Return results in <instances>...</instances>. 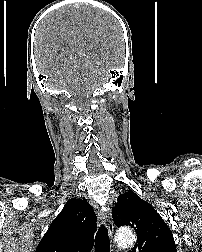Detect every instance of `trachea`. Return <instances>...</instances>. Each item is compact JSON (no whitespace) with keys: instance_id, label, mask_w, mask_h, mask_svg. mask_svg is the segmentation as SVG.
<instances>
[{"instance_id":"3493384b","label":"trachea","mask_w":202,"mask_h":252,"mask_svg":"<svg viewBox=\"0 0 202 252\" xmlns=\"http://www.w3.org/2000/svg\"><path fill=\"white\" fill-rule=\"evenodd\" d=\"M110 243L108 230L105 225H101L95 236V252H109Z\"/></svg>"}]
</instances>
